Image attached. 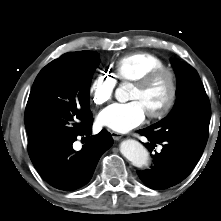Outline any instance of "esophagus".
<instances>
[{
	"label": "esophagus",
	"mask_w": 221,
	"mask_h": 221,
	"mask_svg": "<svg viewBox=\"0 0 221 221\" xmlns=\"http://www.w3.org/2000/svg\"><path fill=\"white\" fill-rule=\"evenodd\" d=\"M111 136L114 140H119L120 138L123 137V135L121 133L114 132V131L111 132Z\"/></svg>",
	"instance_id": "34e87169"
}]
</instances>
